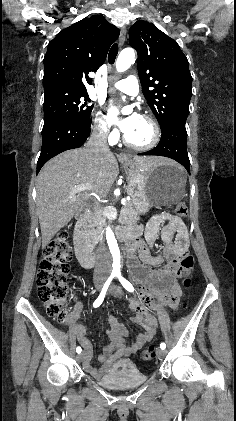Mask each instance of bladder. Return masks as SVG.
I'll return each mask as SVG.
<instances>
[{"mask_svg": "<svg viewBox=\"0 0 236 421\" xmlns=\"http://www.w3.org/2000/svg\"><path fill=\"white\" fill-rule=\"evenodd\" d=\"M123 364L103 375L105 386L116 390L130 389L140 386L147 379L148 375H141L133 366V360H124Z\"/></svg>", "mask_w": 236, "mask_h": 421, "instance_id": "bladder-1", "label": "bladder"}]
</instances>
